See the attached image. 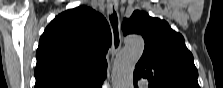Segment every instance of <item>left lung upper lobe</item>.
Here are the masks:
<instances>
[{"label":"left lung upper lobe","instance_id":"left-lung-upper-lobe-1","mask_svg":"<svg viewBox=\"0 0 223 88\" xmlns=\"http://www.w3.org/2000/svg\"><path fill=\"white\" fill-rule=\"evenodd\" d=\"M124 35L135 33L144 38L143 55L136 65L133 79L147 78L149 88H200L193 55L183 36L169 24L142 11L124 19Z\"/></svg>","mask_w":223,"mask_h":88}]
</instances>
